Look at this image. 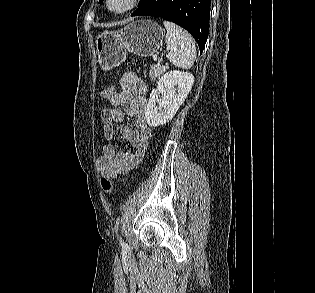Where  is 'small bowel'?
<instances>
[{
    "label": "small bowel",
    "instance_id": "1",
    "mask_svg": "<svg viewBox=\"0 0 315 293\" xmlns=\"http://www.w3.org/2000/svg\"><path fill=\"white\" fill-rule=\"evenodd\" d=\"M120 87V92L113 91L108 97L112 107L101 111L103 134L108 142L102 148L97 165L101 175L110 179L124 175L141 161L152 135L145 117L146 83L135 73L126 72L120 79ZM126 115L134 118L135 126L120 129L121 135L132 146L127 152L117 150L111 142L115 137V124L123 122Z\"/></svg>",
    "mask_w": 315,
    "mask_h": 293
}]
</instances>
